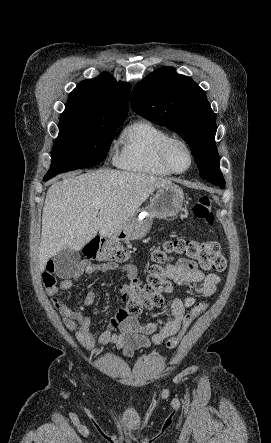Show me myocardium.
Returning a JSON list of instances; mask_svg holds the SVG:
<instances>
[{"instance_id":"obj_1","label":"myocardium","mask_w":271,"mask_h":443,"mask_svg":"<svg viewBox=\"0 0 271 443\" xmlns=\"http://www.w3.org/2000/svg\"><path fill=\"white\" fill-rule=\"evenodd\" d=\"M174 142H181L182 144H184L190 153L191 164L186 170H177L176 168H174V166L172 165V163L169 159V148H170L171 144ZM160 157H161V160L164 163V165L172 173H175V174H184V173L190 171L195 164V152H194L191 144L186 139H184L180 136H176V135H170L163 141V143L160 146Z\"/></svg>"}]
</instances>
